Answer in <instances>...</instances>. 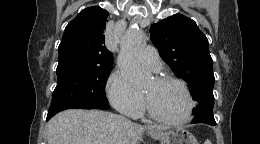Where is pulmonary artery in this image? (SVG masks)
<instances>
[{
	"instance_id": "pulmonary-artery-1",
	"label": "pulmonary artery",
	"mask_w": 260,
	"mask_h": 144,
	"mask_svg": "<svg viewBox=\"0 0 260 144\" xmlns=\"http://www.w3.org/2000/svg\"><path fill=\"white\" fill-rule=\"evenodd\" d=\"M140 63L152 72H158L161 69V60L157 50L148 46L141 52L139 56Z\"/></svg>"
}]
</instances>
